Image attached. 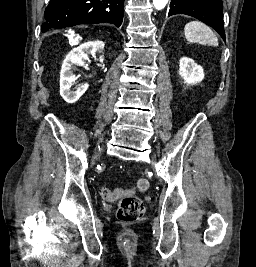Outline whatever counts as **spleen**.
Here are the masks:
<instances>
[{
    "mask_svg": "<svg viewBox=\"0 0 256 267\" xmlns=\"http://www.w3.org/2000/svg\"><path fill=\"white\" fill-rule=\"evenodd\" d=\"M184 36L189 44L218 46V40L214 32L202 22H188L184 28Z\"/></svg>",
    "mask_w": 256,
    "mask_h": 267,
    "instance_id": "obj_1",
    "label": "spleen"
}]
</instances>
